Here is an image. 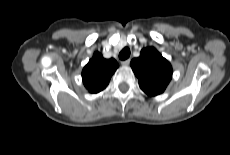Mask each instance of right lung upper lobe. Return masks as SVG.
<instances>
[{"label": "right lung upper lobe", "mask_w": 230, "mask_h": 155, "mask_svg": "<svg viewBox=\"0 0 230 155\" xmlns=\"http://www.w3.org/2000/svg\"><path fill=\"white\" fill-rule=\"evenodd\" d=\"M118 66L113 58L104 59L99 52H95L82 71L86 89L90 93H98L105 89Z\"/></svg>", "instance_id": "cb5924a9"}]
</instances>
